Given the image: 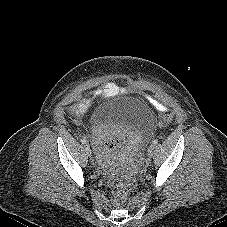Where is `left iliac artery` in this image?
<instances>
[{
  "instance_id": "left-iliac-artery-1",
  "label": "left iliac artery",
  "mask_w": 227,
  "mask_h": 227,
  "mask_svg": "<svg viewBox=\"0 0 227 227\" xmlns=\"http://www.w3.org/2000/svg\"><path fill=\"white\" fill-rule=\"evenodd\" d=\"M153 144H154V145L158 144V140L155 139V140L153 141Z\"/></svg>"
}]
</instances>
